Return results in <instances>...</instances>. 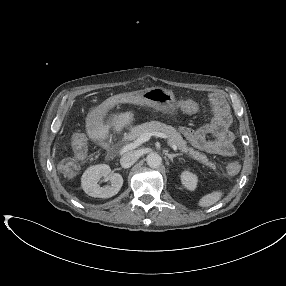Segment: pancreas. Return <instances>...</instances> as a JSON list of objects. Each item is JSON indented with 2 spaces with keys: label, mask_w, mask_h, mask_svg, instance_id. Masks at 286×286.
<instances>
[{
  "label": "pancreas",
  "mask_w": 286,
  "mask_h": 286,
  "mask_svg": "<svg viewBox=\"0 0 286 286\" xmlns=\"http://www.w3.org/2000/svg\"><path fill=\"white\" fill-rule=\"evenodd\" d=\"M144 132H162L167 135L172 143L175 144L183 153L188 154L191 158L203 163L212 169L216 168V165L209 161L206 155L195 151L193 148H189L187 146V142L183 139L181 134L170 125H166L158 121L146 122L144 124L133 127L126 138L128 140L135 141Z\"/></svg>",
  "instance_id": "1"
}]
</instances>
